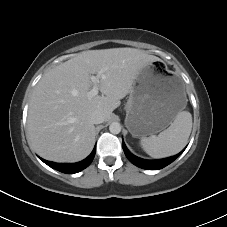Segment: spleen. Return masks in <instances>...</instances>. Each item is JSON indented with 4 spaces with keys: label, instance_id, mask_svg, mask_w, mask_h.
Instances as JSON below:
<instances>
[{
    "label": "spleen",
    "instance_id": "1",
    "mask_svg": "<svg viewBox=\"0 0 227 227\" xmlns=\"http://www.w3.org/2000/svg\"><path fill=\"white\" fill-rule=\"evenodd\" d=\"M192 130V115L188 111L179 112L171 125L158 136L143 137V150L154 158H164L177 154L187 144Z\"/></svg>",
    "mask_w": 227,
    "mask_h": 227
}]
</instances>
